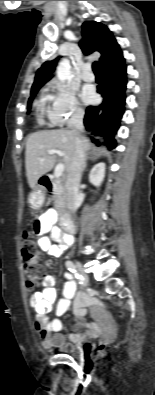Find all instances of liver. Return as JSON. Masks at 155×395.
I'll return each mask as SVG.
<instances>
[{"mask_svg":"<svg viewBox=\"0 0 155 395\" xmlns=\"http://www.w3.org/2000/svg\"><path fill=\"white\" fill-rule=\"evenodd\" d=\"M78 139L82 142L84 152L91 148L89 140L73 130L40 131L28 137L26 142L25 165L30 188L34 189L37 181L54 167L56 156L54 154H48V151L51 149L61 150L63 152L64 168L67 171L75 153Z\"/></svg>","mask_w":155,"mask_h":395,"instance_id":"liver-1","label":"liver"}]
</instances>
